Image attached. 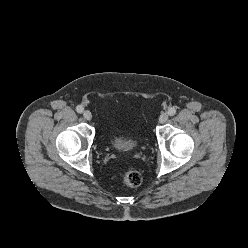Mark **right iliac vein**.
<instances>
[{
  "label": "right iliac vein",
  "instance_id": "1",
  "mask_svg": "<svg viewBox=\"0 0 248 248\" xmlns=\"http://www.w3.org/2000/svg\"><path fill=\"white\" fill-rule=\"evenodd\" d=\"M83 117L86 119V120H91L92 119V113L89 111V110H85L83 112Z\"/></svg>",
  "mask_w": 248,
  "mask_h": 248
}]
</instances>
